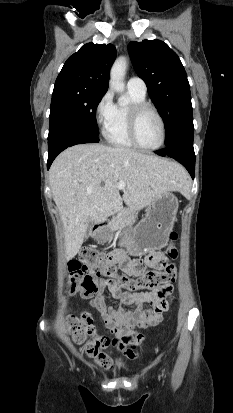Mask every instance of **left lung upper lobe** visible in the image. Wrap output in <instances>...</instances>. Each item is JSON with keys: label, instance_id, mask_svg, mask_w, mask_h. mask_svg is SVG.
Wrapping results in <instances>:
<instances>
[{"label": "left lung upper lobe", "instance_id": "5c2ea615", "mask_svg": "<svg viewBox=\"0 0 233 413\" xmlns=\"http://www.w3.org/2000/svg\"><path fill=\"white\" fill-rule=\"evenodd\" d=\"M128 49L136 73L146 83L165 122L166 148L183 141L193 142L190 86L177 54L160 40L131 41Z\"/></svg>", "mask_w": 233, "mask_h": 413}]
</instances>
